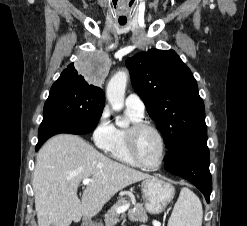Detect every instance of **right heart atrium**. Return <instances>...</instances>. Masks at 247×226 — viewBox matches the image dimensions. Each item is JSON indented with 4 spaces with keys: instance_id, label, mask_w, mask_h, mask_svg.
Masks as SVG:
<instances>
[{
    "instance_id": "right-heart-atrium-1",
    "label": "right heart atrium",
    "mask_w": 247,
    "mask_h": 226,
    "mask_svg": "<svg viewBox=\"0 0 247 226\" xmlns=\"http://www.w3.org/2000/svg\"><path fill=\"white\" fill-rule=\"evenodd\" d=\"M113 130L114 126L110 122L109 110L104 108L93 130V141L99 149L105 150L110 145L113 138Z\"/></svg>"
}]
</instances>
